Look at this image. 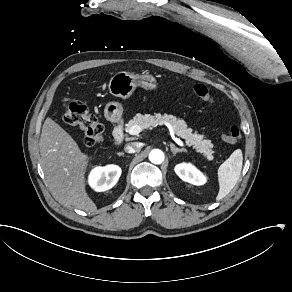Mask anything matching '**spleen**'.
<instances>
[{"label":"spleen","mask_w":292,"mask_h":292,"mask_svg":"<svg viewBox=\"0 0 292 292\" xmlns=\"http://www.w3.org/2000/svg\"><path fill=\"white\" fill-rule=\"evenodd\" d=\"M243 153L240 148L232 152L229 158L219 166L217 170V181L219 191L216 200L223 199L236 185L242 170Z\"/></svg>","instance_id":"spleen-1"}]
</instances>
